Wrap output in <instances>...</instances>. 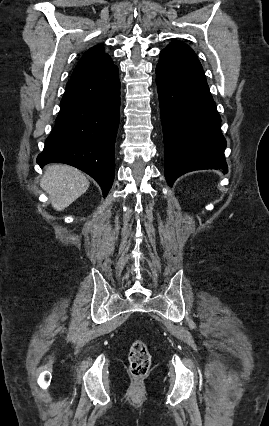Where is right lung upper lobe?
I'll return each mask as SVG.
<instances>
[{"label": "right lung upper lobe", "instance_id": "right-lung-upper-lobe-1", "mask_svg": "<svg viewBox=\"0 0 269 426\" xmlns=\"http://www.w3.org/2000/svg\"><path fill=\"white\" fill-rule=\"evenodd\" d=\"M114 66L111 57L101 45L94 46L84 53L76 65L71 78L102 73Z\"/></svg>", "mask_w": 269, "mask_h": 426}]
</instances>
